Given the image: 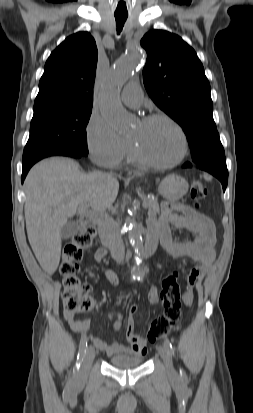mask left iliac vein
<instances>
[{
  "label": "left iliac vein",
  "mask_w": 253,
  "mask_h": 413,
  "mask_svg": "<svg viewBox=\"0 0 253 413\" xmlns=\"http://www.w3.org/2000/svg\"><path fill=\"white\" fill-rule=\"evenodd\" d=\"M158 353L161 356V358L163 359L168 375L170 377H176V371L174 369L173 366V361H172V357L171 354L169 353L168 348L165 345H160L157 347Z\"/></svg>",
  "instance_id": "obj_1"
}]
</instances>
